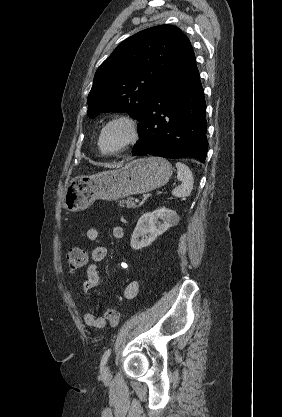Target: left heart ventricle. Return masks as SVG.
Instances as JSON below:
<instances>
[{"instance_id":"b2bd125f","label":"left heart ventricle","mask_w":282,"mask_h":417,"mask_svg":"<svg viewBox=\"0 0 282 417\" xmlns=\"http://www.w3.org/2000/svg\"><path fill=\"white\" fill-rule=\"evenodd\" d=\"M123 137L124 132L119 128L107 132L102 140V146L104 150H113L122 141Z\"/></svg>"}]
</instances>
